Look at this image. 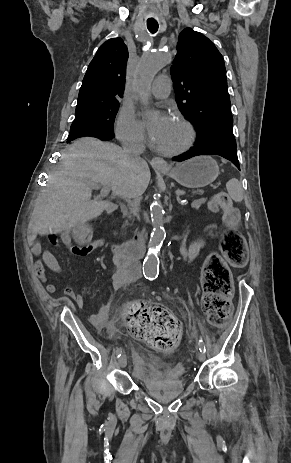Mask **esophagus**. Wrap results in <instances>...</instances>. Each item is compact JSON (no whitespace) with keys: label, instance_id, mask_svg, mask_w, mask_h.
Segmentation results:
<instances>
[{"label":"esophagus","instance_id":"obj_1","mask_svg":"<svg viewBox=\"0 0 291 463\" xmlns=\"http://www.w3.org/2000/svg\"><path fill=\"white\" fill-rule=\"evenodd\" d=\"M152 164L155 165V166H158V167H166L167 166V163L165 162V160H163L160 157H154L152 159Z\"/></svg>","mask_w":291,"mask_h":463}]
</instances>
